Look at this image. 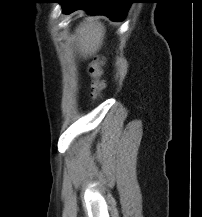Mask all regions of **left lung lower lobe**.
<instances>
[{
    "label": "left lung lower lobe",
    "mask_w": 202,
    "mask_h": 217,
    "mask_svg": "<svg viewBox=\"0 0 202 217\" xmlns=\"http://www.w3.org/2000/svg\"><path fill=\"white\" fill-rule=\"evenodd\" d=\"M63 13L70 14L76 10L84 9L90 14L106 15L112 21L124 19L133 0H59Z\"/></svg>",
    "instance_id": "0a47b994"
}]
</instances>
